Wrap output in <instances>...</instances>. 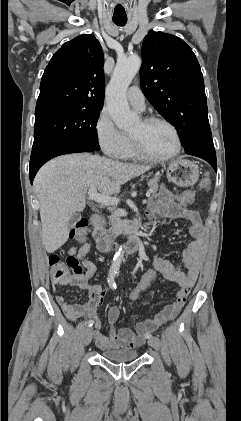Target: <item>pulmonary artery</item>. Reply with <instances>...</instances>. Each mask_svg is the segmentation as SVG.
Returning a JSON list of instances; mask_svg holds the SVG:
<instances>
[{
	"label": "pulmonary artery",
	"instance_id": "obj_1",
	"mask_svg": "<svg viewBox=\"0 0 241 421\" xmlns=\"http://www.w3.org/2000/svg\"><path fill=\"white\" fill-rule=\"evenodd\" d=\"M127 99L129 103L138 110H144L145 97L137 86H131L127 91Z\"/></svg>",
	"mask_w": 241,
	"mask_h": 421
}]
</instances>
